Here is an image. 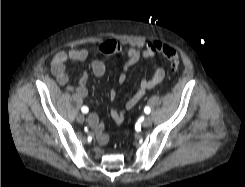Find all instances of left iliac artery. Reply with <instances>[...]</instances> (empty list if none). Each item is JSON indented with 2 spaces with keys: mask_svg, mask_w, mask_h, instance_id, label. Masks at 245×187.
Masks as SVG:
<instances>
[{
  "mask_svg": "<svg viewBox=\"0 0 245 187\" xmlns=\"http://www.w3.org/2000/svg\"><path fill=\"white\" fill-rule=\"evenodd\" d=\"M150 108L148 107V106H146L145 108H144V112L146 113V114H149L150 113Z\"/></svg>",
  "mask_w": 245,
  "mask_h": 187,
  "instance_id": "1",
  "label": "left iliac artery"
}]
</instances>
